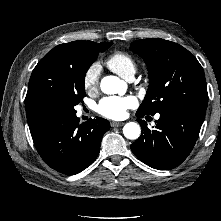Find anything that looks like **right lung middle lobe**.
I'll return each mask as SVG.
<instances>
[{
  "label": "right lung middle lobe",
  "instance_id": "right-lung-middle-lobe-1",
  "mask_svg": "<svg viewBox=\"0 0 221 221\" xmlns=\"http://www.w3.org/2000/svg\"><path fill=\"white\" fill-rule=\"evenodd\" d=\"M111 45L112 42H89L43 65L45 81L39 96L41 106L75 111L74 106L86 96L84 79L87 70L99 52L106 51Z\"/></svg>",
  "mask_w": 221,
  "mask_h": 221
}]
</instances>
